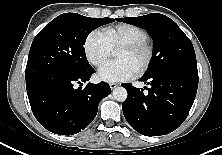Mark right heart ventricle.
Listing matches in <instances>:
<instances>
[{"label": "right heart ventricle", "instance_id": "right-heart-ventricle-1", "mask_svg": "<svg viewBox=\"0 0 222 155\" xmlns=\"http://www.w3.org/2000/svg\"><path fill=\"white\" fill-rule=\"evenodd\" d=\"M103 34L112 50L128 43L146 41L149 38V34L145 29L130 23L107 27L104 29Z\"/></svg>", "mask_w": 222, "mask_h": 155}]
</instances>
